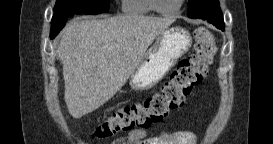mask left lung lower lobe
Returning a JSON list of instances; mask_svg holds the SVG:
<instances>
[{"instance_id":"1","label":"left lung lower lobe","mask_w":273,"mask_h":144,"mask_svg":"<svg viewBox=\"0 0 273 144\" xmlns=\"http://www.w3.org/2000/svg\"><path fill=\"white\" fill-rule=\"evenodd\" d=\"M208 3H212V2H208ZM196 18L207 20L209 23H212L217 28L224 30L225 25H224L223 15L220 8L213 7L210 10L197 15Z\"/></svg>"}]
</instances>
